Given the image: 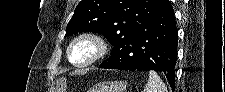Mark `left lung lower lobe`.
I'll list each match as a JSON object with an SVG mask.
<instances>
[{"instance_id":"obj_1","label":"left lung lower lobe","mask_w":225,"mask_h":92,"mask_svg":"<svg viewBox=\"0 0 225 92\" xmlns=\"http://www.w3.org/2000/svg\"><path fill=\"white\" fill-rule=\"evenodd\" d=\"M177 45L175 14L167 1L137 29L131 40L103 61L99 68L161 71L174 91Z\"/></svg>"}]
</instances>
